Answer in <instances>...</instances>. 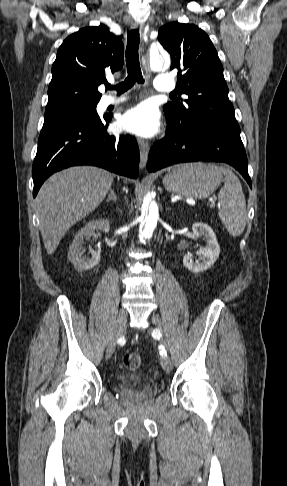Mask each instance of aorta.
<instances>
[{
    "label": "aorta",
    "mask_w": 287,
    "mask_h": 486,
    "mask_svg": "<svg viewBox=\"0 0 287 486\" xmlns=\"http://www.w3.org/2000/svg\"><path fill=\"white\" fill-rule=\"evenodd\" d=\"M149 64L152 70L158 71L163 67L170 65V57L168 55H160L159 53H152L149 57ZM159 219V209L157 203L152 201H144L141 207V225L139 231V241L144 243L149 240L157 226Z\"/></svg>",
    "instance_id": "aorta-1"
}]
</instances>
